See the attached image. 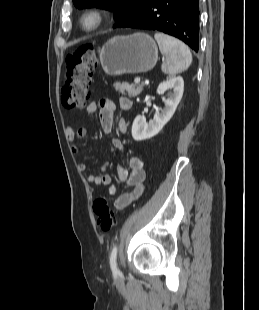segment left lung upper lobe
I'll return each mask as SVG.
<instances>
[{"label":"left lung upper lobe","instance_id":"1","mask_svg":"<svg viewBox=\"0 0 259 310\" xmlns=\"http://www.w3.org/2000/svg\"><path fill=\"white\" fill-rule=\"evenodd\" d=\"M152 0H73L75 7L88 8L99 7L114 11L116 21L114 27H118L122 22L137 13L148 5Z\"/></svg>","mask_w":259,"mask_h":310}]
</instances>
